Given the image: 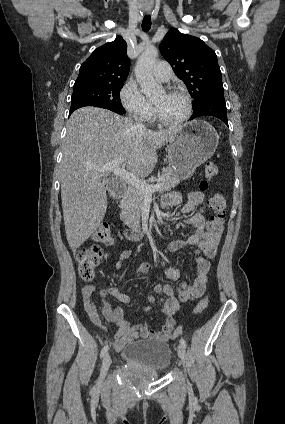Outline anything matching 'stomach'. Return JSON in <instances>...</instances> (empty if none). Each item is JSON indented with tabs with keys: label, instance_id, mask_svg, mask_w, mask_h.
<instances>
[{
	"label": "stomach",
	"instance_id": "stomach-1",
	"mask_svg": "<svg viewBox=\"0 0 285 424\" xmlns=\"http://www.w3.org/2000/svg\"><path fill=\"white\" fill-rule=\"evenodd\" d=\"M218 143L219 136L212 125L203 120L191 121L169 141V166L180 180H185L214 154Z\"/></svg>",
	"mask_w": 285,
	"mask_h": 424
}]
</instances>
